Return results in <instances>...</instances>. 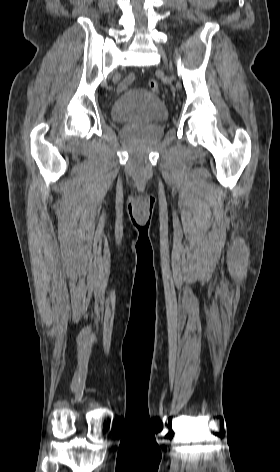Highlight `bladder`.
Listing matches in <instances>:
<instances>
[{
	"mask_svg": "<svg viewBox=\"0 0 280 472\" xmlns=\"http://www.w3.org/2000/svg\"><path fill=\"white\" fill-rule=\"evenodd\" d=\"M111 116L118 123L159 124L167 120L168 113L155 94L144 89H132L115 100Z\"/></svg>",
	"mask_w": 280,
	"mask_h": 472,
	"instance_id": "31cf9c89",
	"label": "bladder"
}]
</instances>
